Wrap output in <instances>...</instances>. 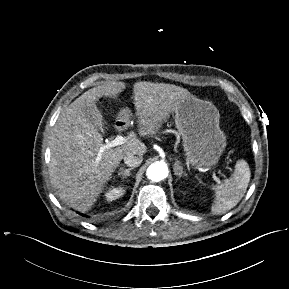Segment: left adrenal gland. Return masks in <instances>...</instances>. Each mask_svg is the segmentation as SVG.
Segmentation results:
<instances>
[{"mask_svg":"<svg viewBox=\"0 0 289 289\" xmlns=\"http://www.w3.org/2000/svg\"><path fill=\"white\" fill-rule=\"evenodd\" d=\"M174 172L175 175H178L179 177H182L183 174L186 175L183 172V167L180 165V161L176 160L175 164H174Z\"/></svg>","mask_w":289,"mask_h":289,"instance_id":"obj_1","label":"left adrenal gland"}]
</instances>
